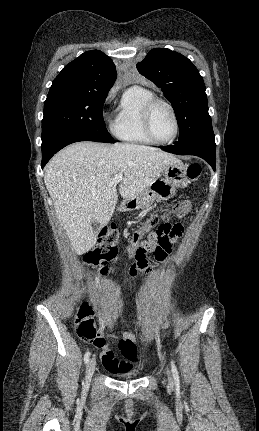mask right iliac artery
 Segmentation results:
<instances>
[{"label":"right iliac artery","instance_id":"obj_1","mask_svg":"<svg viewBox=\"0 0 259 431\" xmlns=\"http://www.w3.org/2000/svg\"><path fill=\"white\" fill-rule=\"evenodd\" d=\"M89 356H90V353L86 352L85 355H84V362L85 363H87L89 361Z\"/></svg>","mask_w":259,"mask_h":431}]
</instances>
